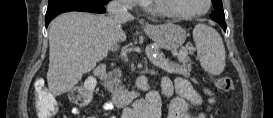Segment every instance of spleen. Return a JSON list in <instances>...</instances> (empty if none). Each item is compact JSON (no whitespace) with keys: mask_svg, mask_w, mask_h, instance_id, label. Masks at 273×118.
Instances as JSON below:
<instances>
[{"mask_svg":"<svg viewBox=\"0 0 273 118\" xmlns=\"http://www.w3.org/2000/svg\"><path fill=\"white\" fill-rule=\"evenodd\" d=\"M193 38L202 68L212 75H220L225 68V48L219 33L206 24H197Z\"/></svg>","mask_w":273,"mask_h":118,"instance_id":"spleen-1","label":"spleen"}]
</instances>
